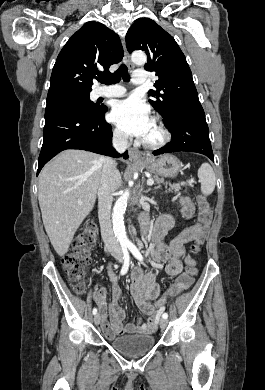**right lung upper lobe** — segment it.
<instances>
[{"mask_svg": "<svg viewBox=\"0 0 265 390\" xmlns=\"http://www.w3.org/2000/svg\"><path fill=\"white\" fill-rule=\"evenodd\" d=\"M119 36L105 25L89 21L60 51L52 70L47 100L89 94L93 78L110 74L109 67L123 58Z\"/></svg>", "mask_w": 265, "mask_h": 390, "instance_id": "obj_1", "label": "right lung upper lobe"}]
</instances>
